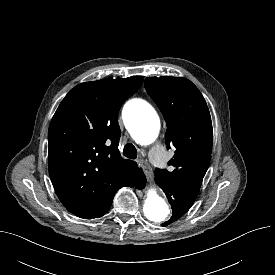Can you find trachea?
Returning a JSON list of instances; mask_svg holds the SVG:
<instances>
[{
  "label": "trachea",
  "mask_w": 275,
  "mask_h": 275,
  "mask_svg": "<svg viewBox=\"0 0 275 275\" xmlns=\"http://www.w3.org/2000/svg\"><path fill=\"white\" fill-rule=\"evenodd\" d=\"M123 155L130 158V159H136L137 158V149L133 144H126L123 149Z\"/></svg>",
  "instance_id": "obj_1"
}]
</instances>
